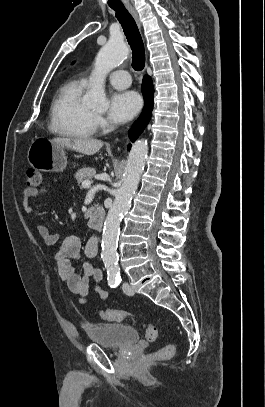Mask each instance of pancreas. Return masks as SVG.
<instances>
[{
  "instance_id": "cf45deb5",
  "label": "pancreas",
  "mask_w": 265,
  "mask_h": 407,
  "mask_svg": "<svg viewBox=\"0 0 265 407\" xmlns=\"http://www.w3.org/2000/svg\"><path fill=\"white\" fill-rule=\"evenodd\" d=\"M96 174V170L94 168H82L78 170L75 174V178L78 184L82 183L85 180H90Z\"/></svg>"
}]
</instances>
